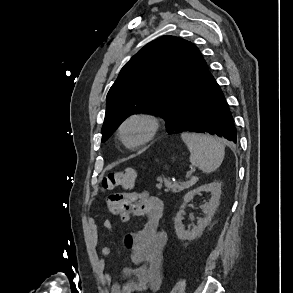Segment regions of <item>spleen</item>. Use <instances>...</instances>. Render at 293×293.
Wrapping results in <instances>:
<instances>
[{
    "instance_id": "3e777b00",
    "label": "spleen",
    "mask_w": 293,
    "mask_h": 293,
    "mask_svg": "<svg viewBox=\"0 0 293 293\" xmlns=\"http://www.w3.org/2000/svg\"><path fill=\"white\" fill-rule=\"evenodd\" d=\"M181 138L189 149L192 165L205 173H211L221 165L225 146L218 138L189 132H183Z\"/></svg>"
}]
</instances>
